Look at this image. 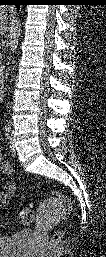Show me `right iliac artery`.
Returning a JSON list of instances; mask_svg holds the SVG:
<instances>
[{
  "mask_svg": "<svg viewBox=\"0 0 106 257\" xmlns=\"http://www.w3.org/2000/svg\"><path fill=\"white\" fill-rule=\"evenodd\" d=\"M5 137H6L7 140L10 139V129L9 128L5 129Z\"/></svg>",
  "mask_w": 106,
  "mask_h": 257,
  "instance_id": "right-iliac-artery-1",
  "label": "right iliac artery"
}]
</instances>
